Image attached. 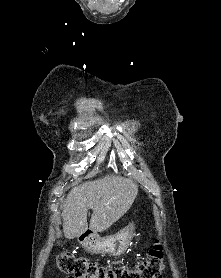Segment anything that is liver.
<instances>
[{
    "mask_svg": "<svg viewBox=\"0 0 221 278\" xmlns=\"http://www.w3.org/2000/svg\"><path fill=\"white\" fill-rule=\"evenodd\" d=\"M138 186L132 179L107 175L72 188L63 205V232L73 239L88 229L87 212L93 210L89 229L103 232L132 206Z\"/></svg>",
    "mask_w": 221,
    "mask_h": 278,
    "instance_id": "obj_1",
    "label": "liver"
}]
</instances>
